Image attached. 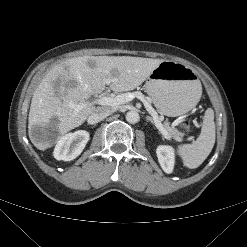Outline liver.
Instances as JSON below:
<instances>
[{
  "instance_id": "obj_1",
  "label": "liver",
  "mask_w": 247,
  "mask_h": 247,
  "mask_svg": "<svg viewBox=\"0 0 247 247\" xmlns=\"http://www.w3.org/2000/svg\"><path fill=\"white\" fill-rule=\"evenodd\" d=\"M162 61L130 56H82L54 66L33 93L28 118L31 142L37 149L46 150L52 144L37 141L32 134L34 126H45L55 119L59 138L82 125L97 109L93 105H87L75 112L70 103H85L91 95L100 94L106 85L114 92L133 90ZM57 80H60L59 86L55 85ZM108 80L110 83H107ZM69 82L73 85L68 84Z\"/></svg>"
}]
</instances>
